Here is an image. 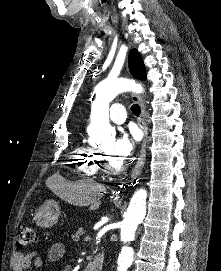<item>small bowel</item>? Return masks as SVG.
Masks as SVG:
<instances>
[{"instance_id": "c3829d8e", "label": "small bowel", "mask_w": 221, "mask_h": 271, "mask_svg": "<svg viewBox=\"0 0 221 271\" xmlns=\"http://www.w3.org/2000/svg\"><path fill=\"white\" fill-rule=\"evenodd\" d=\"M65 253V246L61 242L54 243L48 250L47 257L51 262L60 260ZM13 271L40 270L43 267V260L38 256L37 251L29 253L16 252L12 257ZM62 271H72L71 266L66 265Z\"/></svg>"}]
</instances>
